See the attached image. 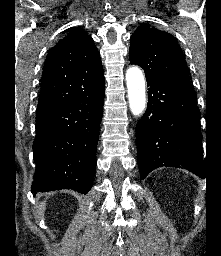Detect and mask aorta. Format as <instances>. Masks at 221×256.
<instances>
[{
    "label": "aorta",
    "instance_id": "aorta-1",
    "mask_svg": "<svg viewBox=\"0 0 221 256\" xmlns=\"http://www.w3.org/2000/svg\"><path fill=\"white\" fill-rule=\"evenodd\" d=\"M126 83L130 110L133 115L143 113L146 107L145 79L138 67H130L126 72Z\"/></svg>",
    "mask_w": 221,
    "mask_h": 256
}]
</instances>
